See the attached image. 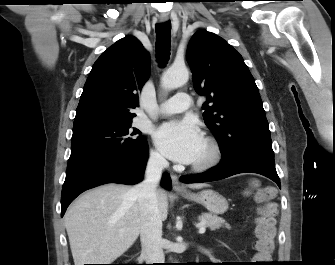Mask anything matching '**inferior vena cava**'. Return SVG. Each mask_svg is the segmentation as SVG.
Segmentation results:
<instances>
[{"instance_id": "602c4592", "label": "inferior vena cava", "mask_w": 335, "mask_h": 265, "mask_svg": "<svg viewBox=\"0 0 335 265\" xmlns=\"http://www.w3.org/2000/svg\"><path fill=\"white\" fill-rule=\"evenodd\" d=\"M167 160L160 154L153 153L147 162L145 179L134 187L138 195L141 214L140 240L142 256L149 264L164 263L162 240V220L158 208L157 186Z\"/></svg>"}]
</instances>
